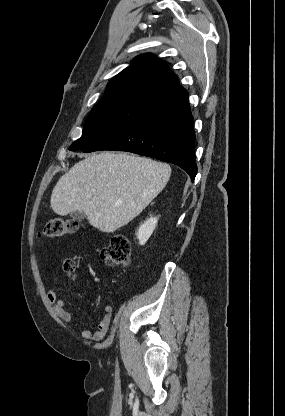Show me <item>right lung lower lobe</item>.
I'll list each match as a JSON object with an SVG mask.
<instances>
[{
	"instance_id": "98d812e1",
	"label": "right lung lower lobe",
	"mask_w": 285,
	"mask_h": 416,
	"mask_svg": "<svg viewBox=\"0 0 285 416\" xmlns=\"http://www.w3.org/2000/svg\"><path fill=\"white\" fill-rule=\"evenodd\" d=\"M194 141L193 116L185 101L151 113L84 152L117 150L153 157L178 165L194 181Z\"/></svg>"
}]
</instances>
